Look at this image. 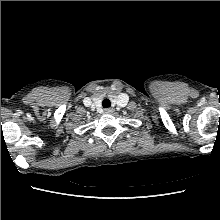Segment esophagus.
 <instances>
[{"label":"esophagus","mask_w":220,"mask_h":220,"mask_svg":"<svg viewBox=\"0 0 220 220\" xmlns=\"http://www.w3.org/2000/svg\"><path fill=\"white\" fill-rule=\"evenodd\" d=\"M105 113H107V114L112 113V109L111 108H106Z\"/></svg>","instance_id":"1"}]
</instances>
